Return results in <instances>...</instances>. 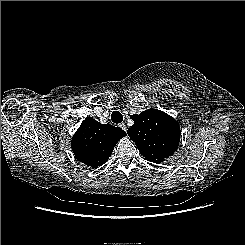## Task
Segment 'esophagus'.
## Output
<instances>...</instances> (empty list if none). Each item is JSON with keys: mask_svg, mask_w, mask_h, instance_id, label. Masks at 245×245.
<instances>
[{"mask_svg": "<svg viewBox=\"0 0 245 245\" xmlns=\"http://www.w3.org/2000/svg\"><path fill=\"white\" fill-rule=\"evenodd\" d=\"M119 126H120L124 131H127V126H126L125 123H121Z\"/></svg>", "mask_w": 245, "mask_h": 245, "instance_id": "obj_1", "label": "esophagus"}]
</instances>
